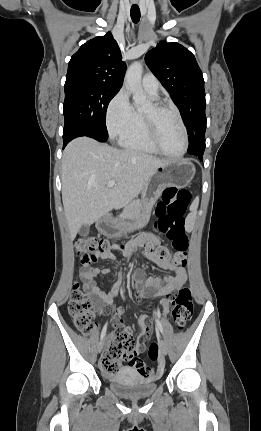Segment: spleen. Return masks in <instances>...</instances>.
Instances as JSON below:
<instances>
[{"label": "spleen", "instance_id": "spleen-1", "mask_svg": "<svg viewBox=\"0 0 261 431\" xmlns=\"http://www.w3.org/2000/svg\"><path fill=\"white\" fill-rule=\"evenodd\" d=\"M198 202H199V199H198V198H196V199L194 200V202H193L192 206H191V209H192V210H196V209H197V207H198Z\"/></svg>", "mask_w": 261, "mask_h": 431}]
</instances>
